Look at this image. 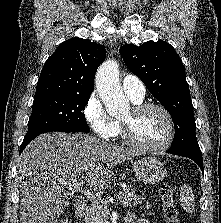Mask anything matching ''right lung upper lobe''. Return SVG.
Instances as JSON below:
<instances>
[{
  "instance_id": "obj_1",
  "label": "right lung upper lobe",
  "mask_w": 221,
  "mask_h": 223,
  "mask_svg": "<svg viewBox=\"0 0 221 223\" xmlns=\"http://www.w3.org/2000/svg\"><path fill=\"white\" fill-rule=\"evenodd\" d=\"M105 57V47L88 39L71 38L62 42L45 62L34 99L91 94L95 73Z\"/></svg>"
}]
</instances>
